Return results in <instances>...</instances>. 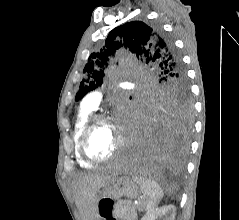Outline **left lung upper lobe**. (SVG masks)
<instances>
[{"instance_id":"left-lung-upper-lobe-1","label":"left lung upper lobe","mask_w":239,"mask_h":220,"mask_svg":"<svg viewBox=\"0 0 239 220\" xmlns=\"http://www.w3.org/2000/svg\"><path fill=\"white\" fill-rule=\"evenodd\" d=\"M105 44L89 56L75 101L102 84L109 57L114 56L117 49L128 47L137 58L155 68L161 78L160 85L149 97V109L171 112L181 124L190 126L193 105L184 67L172 42L159 28L142 21L127 22L113 29Z\"/></svg>"}]
</instances>
